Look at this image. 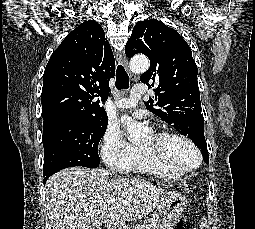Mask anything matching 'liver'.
I'll return each mask as SVG.
<instances>
[{"instance_id": "obj_1", "label": "liver", "mask_w": 255, "mask_h": 229, "mask_svg": "<svg viewBox=\"0 0 255 229\" xmlns=\"http://www.w3.org/2000/svg\"><path fill=\"white\" fill-rule=\"evenodd\" d=\"M108 175L103 168L71 167L51 176L45 193L52 228L93 229L106 222L136 221L174 195L146 180Z\"/></svg>"}]
</instances>
